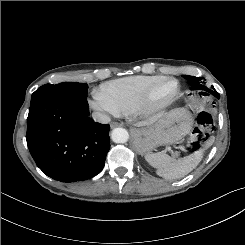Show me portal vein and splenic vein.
Segmentation results:
<instances>
[{
	"label": "portal vein and splenic vein",
	"instance_id": "portal-vein-and-splenic-vein-1",
	"mask_svg": "<svg viewBox=\"0 0 245 245\" xmlns=\"http://www.w3.org/2000/svg\"><path fill=\"white\" fill-rule=\"evenodd\" d=\"M167 150L170 151L172 154H174V152L171 150L170 147H167ZM181 150H183V148L181 147Z\"/></svg>",
	"mask_w": 245,
	"mask_h": 245
}]
</instances>
